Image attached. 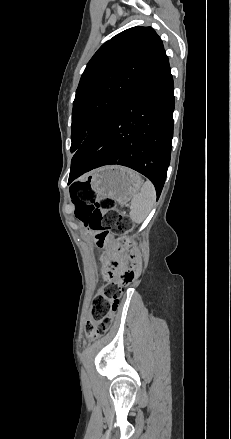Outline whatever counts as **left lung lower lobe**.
Segmentation results:
<instances>
[{"label":"left lung lower lobe","instance_id":"1","mask_svg":"<svg viewBox=\"0 0 231 439\" xmlns=\"http://www.w3.org/2000/svg\"><path fill=\"white\" fill-rule=\"evenodd\" d=\"M174 86L168 57L140 80L75 152L69 180L118 164L154 184L160 196L170 163Z\"/></svg>","mask_w":231,"mask_h":439}]
</instances>
